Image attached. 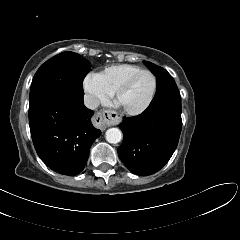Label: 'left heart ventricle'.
Wrapping results in <instances>:
<instances>
[{
    "instance_id": "1",
    "label": "left heart ventricle",
    "mask_w": 240,
    "mask_h": 240,
    "mask_svg": "<svg viewBox=\"0 0 240 240\" xmlns=\"http://www.w3.org/2000/svg\"><path fill=\"white\" fill-rule=\"evenodd\" d=\"M154 86L153 77L144 73L121 96L120 104L125 108L135 109L143 106L151 96Z\"/></svg>"
}]
</instances>
